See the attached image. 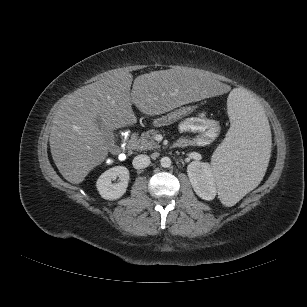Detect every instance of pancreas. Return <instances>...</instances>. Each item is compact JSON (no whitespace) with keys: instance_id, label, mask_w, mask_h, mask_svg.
Segmentation results:
<instances>
[{"instance_id":"1","label":"pancreas","mask_w":307,"mask_h":307,"mask_svg":"<svg viewBox=\"0 0 307 307\" xmlns=\"http://www.w3.org/2000/svg\"><path fill=\"white\" fill-rule=\"evenodd\" d=\"M158 131L152 129L142 133L140 136L134 135L131 143L136 150H153L159 148V145L154 140L155 135Z\"/></svg>"}]
</instances>
